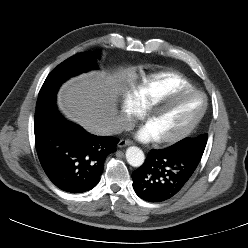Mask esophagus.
I'll return each instance as SVG.
<instances>
[{"instance_id": "1", "label": "esophagus", "mask_w": 248, "mask_h": 248, "mask_svg": "<svg viewBox=\"0 0 248 248\" xmlns=\"http://www.w3.org/2000/svg\"><path fill=\"white\" fill-rule=\"evenodd\" d=\"M133 142L131 140H125V139H122L119 141L118 143V147L122 148V147H126V146H129V145H132Z\"/></svg>"}]
</instances>
